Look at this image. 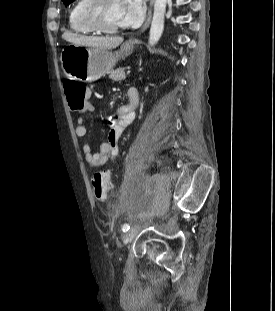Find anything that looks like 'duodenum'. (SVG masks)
<instances>
[{
    "instance_id": "duodenum-1",
    "label": "duodenum",
    "mask_w": 275,
    "mask_h": 311,
    "mask_svg": "<svg viewBox=\"0 0 275 311\" xmlns=\"http://www.w3.org/2000/svg\"><path fill=\"white\" fill-rule=\"evenodd\" d=\"M129 100H130V103H131L132 105H137V103H138V100H137V98H135V97H130Z\"/></svg>"
}]
</instances>
